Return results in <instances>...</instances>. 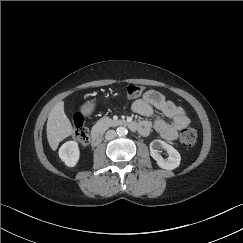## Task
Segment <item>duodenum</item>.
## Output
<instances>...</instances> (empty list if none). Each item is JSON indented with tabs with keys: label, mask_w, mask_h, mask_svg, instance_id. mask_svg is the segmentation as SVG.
Returning a JSON list of instances; mask_svg holds the SVG:
<instances>
[{
	"label": "duodenum",
	"mask_w": 243,
	"mask_h": 243,
	"mask_svg": "<svg viewBox=\"0 0 243 243\" xmlns=\"http://www.w3.org/2000/svg\"><path fill=\"white\" fill-rule=\"evenodd\" d=\"M119 124L122 126L129 127L132 131H138L140 128V124L138 122L129 121V120H122L119 122ZM101 139H102L101 131L98 129L92 130L90 135V141L92 146H97L101 142Z\"/></svg>",
	"instance_id": "obj_1"
}]
</instances>
